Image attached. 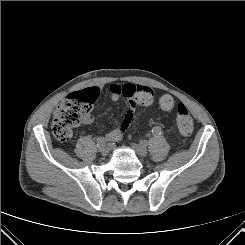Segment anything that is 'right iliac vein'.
<instances>
[{"instance_id": "right-iliac-vein-1", "label": "right iliac vein", "mask_w": 245, "mask_h": 245, "mask_svg": "<svg viewBox=\"0 0 245 245\" xmlns=\"http://www.w3.org/2000/svg\"><path fill=\"white\" fill-rule=\"evenodd\" d=\"M100 153H101L102 156H106V155H108V153H109V149H108V151H106V152L103 151V149H101V150H100Z\"/></svg>"}]
</instances>
